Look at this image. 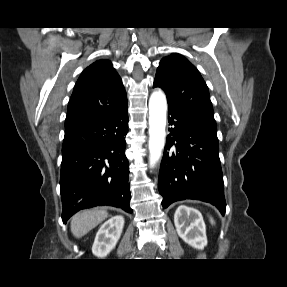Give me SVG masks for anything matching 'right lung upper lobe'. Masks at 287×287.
I'll return each mask as SVG.
<instances>
[{"mask_svg": "<svg viewBox=\"0 0 287 287\" xmlns=\"http://www.w3.org/2000/svg\"><path fill=\"white\" fill-rule=\"evenodd\" d=\"M127 102L112 63L98 60L80 75L70 98L65 126L110 114Z\"/></svg>", "mask_w": 287, "mask_h": 287, "instance_id": "1", "label": "right lung upper lobe"}]
</instances>
